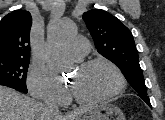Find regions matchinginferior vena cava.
Wrapping results in <instances>:
<instances>
[{"mask_svg":"<svg viewBox=\"0 0 165 120\" xmlns=\"http://www.w3.org/2000/svg\"><path fill=\"white\" fill-rule=\"evenodd\" d=\"M47 108L48 109H57V106L52 103H49V104H47ZM46 120H51V115H50L49 111L47 113Z\"/></svg>","mask_w":165,"mask_h":120,"instance_id":"obj_1","label":"inferior vena cava"}]
</instances>
